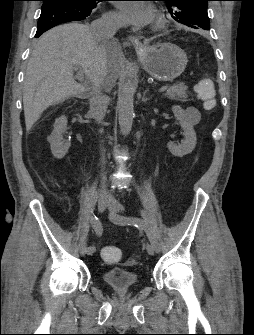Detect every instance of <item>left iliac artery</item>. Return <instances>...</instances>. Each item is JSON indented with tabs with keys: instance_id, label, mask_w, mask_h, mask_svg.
Masks as SVG:
<instances>
[{
	"instance_id": "1",
	"label": "left iliac artery",
	"mask_w": 254,
	"mask_h": 335,
	"mask_svg": "<svg viewBox=\"0 0 254 335\" xmlns=\"http://www.w3.org/2000/svg\"><path fill=\"white\" fill-rule=\"evenodd\" d=\"M116 220L121 222V223H127L129 225H134L137 228L143 229L151 243V245L154 247V249L159 252L161 250V246L152 231L151 227L145 223L143 220L136 218V217H131V216H123V215H116Z\"/></svg>"
}]
</instances>
